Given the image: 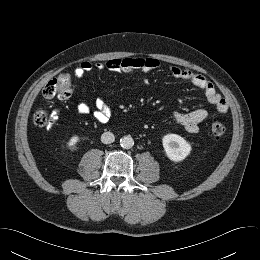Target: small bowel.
<instances>
[{
  "label": "small bowel",
  "mask_w": 260,
  "mask_h": 260,
  "mask_svg": "<svg viewBox=\"0 0 260 260\" xmlns=\"http://www.w3.org/2000/svg\"><path fill=\"white\" fill-rule=\"evenodd\" d=\"M160 67V62L148 57H126L122 59H111L105 63L99 62L95 64L97 70L107 69L111 72L124 73H141L147 74ZM93 64L89 61L81 62L75 69L74 75L77 78H82L86 73L91 71ZM170 74L179 80H184L205 93L207 100L215 105L220 114H225L228 110L226 100L217 92L214 85L200 74L182 69L177 66L169 68ZM78 114L81 116L87 115L90 111L89 105L81 102L77 106ZM94 118L97 122L105 124L111 116L110 107L101 99L97 100L94 110ZM208 117V112L205 109H196L187 113L177 112L174 114V120L189 133H197L199 124Z\"/></svg>",
  "instance_id": "small-bowel-1"
}]
</instances>
